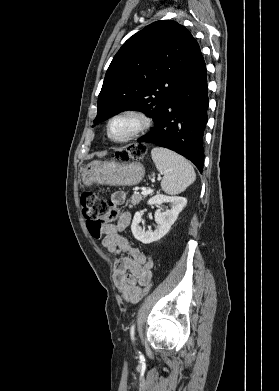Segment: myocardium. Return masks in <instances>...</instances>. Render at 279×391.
I'll return each instance as SVG.
<instances>
[{"mask_svg":"<svg viewBox=\"0 0 279 391\" xmlns=\"http://www.w3.org/2000/svg\"><path fill=\"white\" fill-rule=\"evenodd\" d=\"M124 117L133 118L136 121V125L125 137L115 138L111 134V126L113 122ZM151 123V119L144 112L137 109H124L109 118L106 125L107 137L115 143H127L143 134L151 126Z\"/></svg>","mask_w":279,"mask_h":391,"instance_id":"1","label":"myocardium"}]
</instances>
